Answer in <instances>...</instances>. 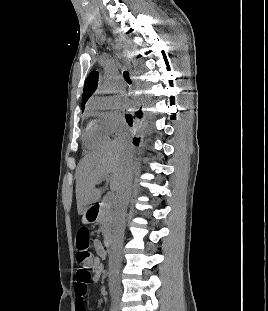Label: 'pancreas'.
Segmentation results:
<instances>
[{
	"mask_svg": "<svg viewBox=\"0 0 268 311\" xmlns=\"http://www.w3.org/2000/svg\"><path fill=\"white\" fill-rule=\"evenodd\" d=\"M113 214V201L106 200L97 220L104 238H107L111 232Z\"/></svg>",
	"mask_w": 268,
	"mask_h": 311,
	"instance_id": "obj_1",
	"label": "pancreas"
}]
</instances>
